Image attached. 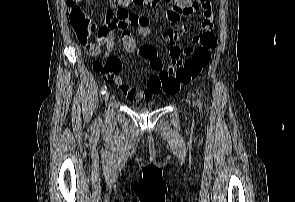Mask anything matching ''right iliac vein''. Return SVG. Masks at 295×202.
Here are the masks:
<instances>
[{"instance_id": "right-iliac-vein-1", "label": "right iliac vein", "mask_w": 295, "mask_h": 202, "mask_svg": "<svg viewBox=\"0 0 295 202\" xmlns=\"http://www.w3.org/2000/svg\"><path fill=\"white\" fill-rule=\"evenodd\" d=\"M109 100V92H106L104 95V101L107 102Z\"/></svg>"}]
</instances>
